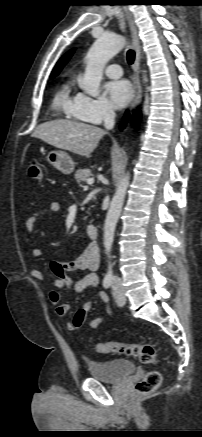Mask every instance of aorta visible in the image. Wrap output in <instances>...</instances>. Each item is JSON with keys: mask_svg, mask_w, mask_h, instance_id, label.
I'll return each instance as SVG.
<instances>
[{"mask_svg": "<svg viewBox=\"0 0 202 437\" xmlns=\"http://www.w3.org/2000/svg\"><path fill=\"white\" fill-rule=\"evenodd\" d=\"M125 45V39L120 35L103 34L91 46L86 55V68L83 78L79 81L80 88L92 97L100 93L99 86L103 76V69L108 61L114 57ZM147 81L146 75L143 76ZM130 175L127 173L121 180L110 203L104 224L103 245L105 253L110 257L114 240L115 228L119 219ZM108 274H111L109 267Z\"/></svg>", "mask_w": 202, "mask_h": 437, "instance_id": "aorta-1", "label": "aorta"}]
</instances>
